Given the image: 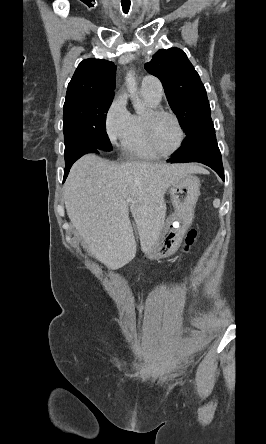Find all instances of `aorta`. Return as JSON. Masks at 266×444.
<instances>
[{
    "mask_svg": "<svg viewBox=\"0 0 266 444\" xmlns=\"http://www.w3.org/2000/svg\"><path fill=\"white\" fill-rule=\"evenodd\" d=\"M125 80L136 113L138 114L143 113L145 111V104L142 102V100L138 95L137 83L134 72L129 71L126 75Z\"/></svg>",
    "mask_w": 266,
    "mask_h": 444,
    "instance_id": "obj_1",
    "label": "aorta"
}]
</instances>
